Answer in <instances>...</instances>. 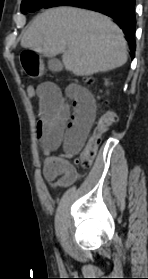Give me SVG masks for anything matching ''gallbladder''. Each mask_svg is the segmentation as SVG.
<instances>
[{"instance_id":"bac80fb5","label":"gallbladder","mask_w":148,"mask_h":279,"mask_svg":"<svg viewBox=\"0 0 148 279\" xmlns=\"http://www.w3.org/2000/svg\"><path fill=\"white\" fill-rule=\"evenodd\" d=\"M48 68L51 70V71H55V72H59L62 70L63 68V65L62 63L56 59V58H51L49 61H48Z\"/></svg>"}]
</instances>
